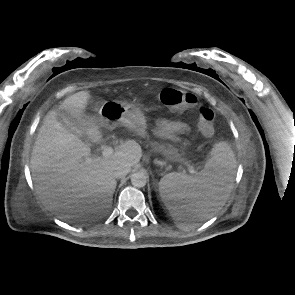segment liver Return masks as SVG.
Instances as JSON below:
<instances>
[{"label":"liver","instance_id":"1","mask_svg":"<svg viewBox=\"0 0 295 295\" xmlns=\"http://www.w3.org/2000/svg\"><path fill=\"white\" fill-rule=\"evenodd\" d=\"M91 98L89 91L67 97L58 107L83 125L92 142H100L102 133L84 119ZM141 146L127 140L108 158H95L76 135L57 120V111L44 118L32 150L31 172L35 190L43 204L60 219L84 218L110 208L116 188L115 167L139 163Z\"/></svg>","mask_w":295,"mask_h":295}]
</instances>
